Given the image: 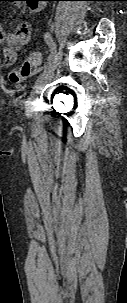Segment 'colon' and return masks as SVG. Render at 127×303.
Here are the masks:
<instances>
[{
  "label": "colon",
  "mask_w": 127,
  "mask_h": 303,
  "mask_svg": "<svg viewBox=\"0 0 127 303\" xmlns=\"http://www.w3.org/2000/svg\"><path fill=\"white\" fill-rule=\"evenodd\" d=\"M41 63V54L39 52L32 53L19 68L12 69L8 78L12 83H20L28 77L33 68L38 67Z\"/></svg>",
  "instance_id": "5ec220e1"
}]
</instances>
